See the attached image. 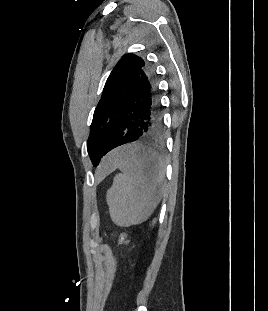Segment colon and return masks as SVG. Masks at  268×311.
Listing matches in <instances>:
<instances>
[{
  "label": "colon",
  "instance_id": "5ec220e1",
  "mask_svg": "<svg viewBox=\"0 0 268 311\" xmlns=\"http://www.w3.org/2000/svg\"><path fill=\"white\" fill-rule=\"evenodd\" d=\"M118 243L126 248L128 252H134L135 246L125 233H121L115 236Z\"/></svg>",
  "mask_w": 268,
  "mask_h": 311
}]
</instances>
